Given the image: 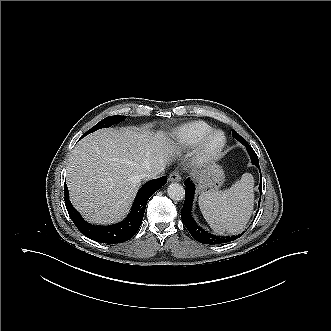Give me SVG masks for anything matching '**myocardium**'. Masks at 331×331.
Segmentation results:
<instances>
[{
  "label": "myocardium",
  "instance_id": "myocardium-1",
  "mask_svg": "<svg viewBox=\"0 0 331 331\" xmlns=\"http://www.w3.org/2000/svg\"><path fill=\"white\" fill-rule=\"evenodd\" d=\"M216 136H219L220 140L214 143ZM226 142V136L221 130L210 131L196 145L194 150L195 160L197 163L203 164L217 159L225 148Z\"/></svg>",
  "mask_w": 331,
  "mask_h": 331
}]
</instances>
